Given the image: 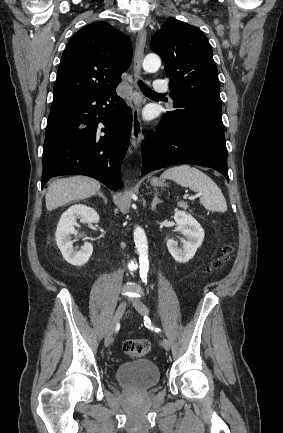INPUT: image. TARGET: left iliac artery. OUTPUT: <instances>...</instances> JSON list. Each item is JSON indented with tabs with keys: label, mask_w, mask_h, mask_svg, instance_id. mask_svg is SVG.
<instances>
[{
	"label": "left iliac artery",
	"mask_w": 283,
	"mask_h": 433,
	"mask_svg": "<svg viewBox=\"0 0 283 433\" xmlns=\"http://www.w3.org/2000/svg\"><path fill=\"white\" fill-rule=\"evenodd\" d=\"M144 320H145V322L144 323H148L149 324V327L151 326V320L149 319V317L148 316H144ZM152 329H153V327H151ZM156 332H160L161 331V329H159V328H155L154 329Z\"/></svg>",
	"instance_id": "left-iliac-artery-1"
}]
</instances>
